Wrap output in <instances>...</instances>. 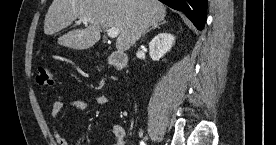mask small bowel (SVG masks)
<instances>
[{
	"mask_svg": "<svg viewBox=\"0 0 276 145\" xmlns=\"http://www.w3.org/2000/svg\"><path fill=\"white\" fill-rule=\"evenodd\" d=\"M91 103H96L98 105H106L108 99L104 95L94 96L90 100H79L72 101L65 96H59L58 99L53 103L51 116L53 121V135L57 145H68L67 139L61 134L56 124V121L65 108H70L73 110H82L87 108ZM113 145H126L125 140V130L121 124H115L112 128Z\"/></svg>",
	"mask_w": 276,
	"mask_h": 145,
	"instance_id": "1",
	"label": "small bowel"
}]
</instances>
